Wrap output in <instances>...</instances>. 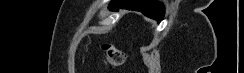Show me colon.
<instances>
[{
  "label": "colon",
  "instance_id": "5ec220e1",
  "mask_svg": "<svg viewBox=\"0 0 244 73\" xmlns=\"http://www.w3.org/2000/svg\"><path fill=\"white\" fill-rule=\"evenodd\" d=\"M104 52V58L102 60L103 65L111 67H119L125 63L126 56L124 52L113 43H104L102 45Z\"/></svg>",
  "mask_w": 244,
  "mask_h": 73
}]
</instances>
